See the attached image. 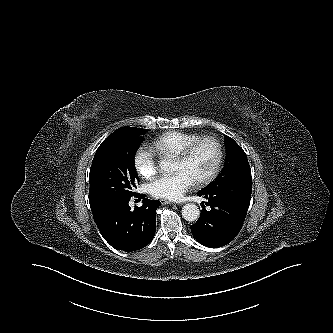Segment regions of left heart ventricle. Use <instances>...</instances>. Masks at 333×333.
Masks as SVG:
<instances>
[{
	"mask_svg": "<svg viewBox=\"0 0 333 333\" xmlns=\"http://www.w3.org/2000/svg\"><path fill=\"white\" fill-rule=\"evenodd\" d=\"M217 158L215 145L210 141L201 143L192 156L186 161L174 162V172L185 171L194 181H199L209 175Z\"/></svg>",
	"mask_w": 333,
	"mask_h": 333,
	"instance_id": "b2bd125f",
	"label": "left heart ventricle"
}]
</instances>
